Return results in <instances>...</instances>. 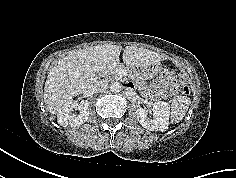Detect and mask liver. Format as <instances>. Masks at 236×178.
I'll return each instance as SVG.
<instances>
[{
    "instance_id": "liver-1",
    "label": "liver",
    "mask_w": 236,
    "mask_h": 178,
    "mask_svg": "<svg viewBox=\"0 0 236 178\" xmlns=\"http://www.w3.org/2000/svg\"><path fill=\"white\" fill-rule=\"evenodd\" d=\"M122 47L103 44L70 51L55 61L48 72L44 85V103L52 114H58L62 107L74 97L91 90L106 75L120 65ZM168 57L149 49L126 46L122 55L128 68H142L166 60ZM101 73V75H97Z\"/></svg>"
}]
</instances>
